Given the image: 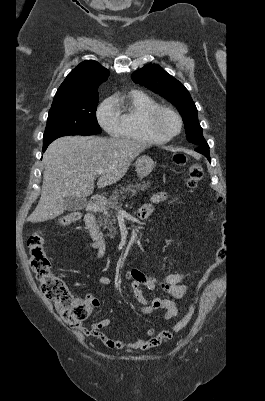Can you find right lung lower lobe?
<instances>
[{
  "instance_id": "obj_1",
  "label": "right lung lower lobe",
  "mask_w": 265,
  "mask_h": 401,
  "mask_svg": "<svg viewBox=\"0 0 265 401\" xmlns=\"http://www.w3.org/2000/svg\"><path fill=\"white\" fill-rule=\"evenodd\" d=\"M49 144H43V152L47 149Z\"/></svg>"
}]
</instances>
